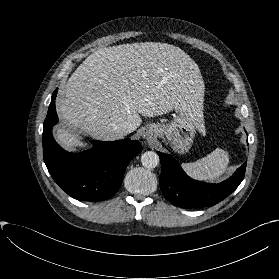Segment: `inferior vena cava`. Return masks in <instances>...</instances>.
Listing matches in <instances>:
<instances>
[{
  "label": "inferior vena cava",
  "instance_id": "inferior-vena-cava-1",
  "mask_svg": "<svg viewBox=\"0 0 279 279\" xmlns=\"http://www.w3.org/2000/svg\"><path fill=\"white\" fill-rule=\"evenodd\" d=\"M120 131H121V133H122L123 135H127V134H129V133H131V132L133 131V128H132L131 125H129V126H124V127L121 128Z\"/></svg>",
  "mask_w": 279,
  "mask_h": 279
}]
</instances>
